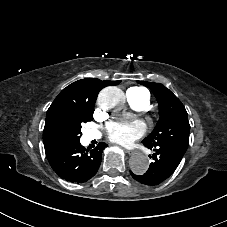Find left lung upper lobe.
I'll return each mask as SVG.
<instances>
[{
    "instance_id": "5c2ea615",
    "label": "left lung upper lobe",
    "mask_w": 227,
    "mask_h": 227,
    "mask_svg": "<svg viewBox=\"0 0 227 227\" xmlns=\"http://www.w3.org/2000/svg\"><path fill=\"white\" fill-rule=\"evenodd\" d=\"M137 82L151 89L158 101L160 115L153 132L142 143L145 146L166 144L185 153L189 144L190 125L181 101L160 83Z\"/></svg>"
}]
</instances>
